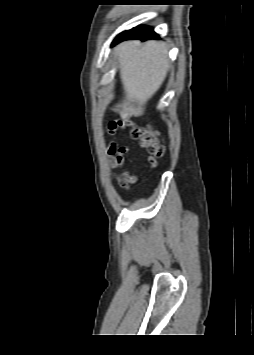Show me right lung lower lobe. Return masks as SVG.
Wrapping results in <instances>:
<instances>
[{
    "label": "right lung lower lobe",
    "mask_w": 254,
    "mask_h": 355,
    "mask_svg": "<svg viewBox=\"0 0 254 355\" xmlns=\"http://www.w3.org/2000/svg\"><path fill=\"white\" fill-rule=\"evenodd\" d=\"M158 39L159 36L153 31L151 27L147 26H138L129 31L122 32L119 34L115 40L113 41L112 45H115L123 40L127 39H140L142 41H146L148 39Z\"/></svg>",
    "instance_id": "obj_1"
}]
</instances>
